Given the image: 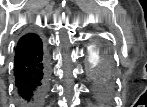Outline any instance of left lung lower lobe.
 <instances>
[{"label":"left lung lower lobe","mask_w":147,"mask_h":107,"mask_svg":"<svg viewBox=\"0 0 147 107\" xmlns=\"http://www.w3.org/2000/svg\"><path fill=\"white\" fill-rule=\"evenodd\" d=\"M98 86L96 87V94L98 98L102 101L106 100L110 88L112 86V77L109 74H99L98 75Z\"/></svg>","instance_id":"0a47b994"}]
</instances>
